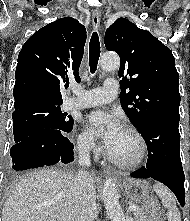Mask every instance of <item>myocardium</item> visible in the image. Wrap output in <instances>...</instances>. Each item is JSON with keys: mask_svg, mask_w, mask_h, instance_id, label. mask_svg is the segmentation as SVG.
<instances>
[{"mask_svg": "<svg viewBox=\"0 0 190 221\" xmlns=\"http://www.w3.org/2000/svg\"><path fill=\"white\" fill-rule=\"evenodd\" d=\"M122 129L130 132L131 134H133L136 139L139 142L140 145V153L139 156L137 157V159H135L134 161L131 162H125V161H121L119 159H117L116 157H114L109 151L108 149L105 150V155L107 157V159L112 162L113 164H115L116 166L123 168V169H135L140 167L143 162L146 159L147 156V142L143 136V134L134 126L132 125H124L122 127Z\"/></svg>", "mask_w": 190, "mask_h": 221, "instance_id": "obj_1", "label": "myocardium"}]
</instances>
